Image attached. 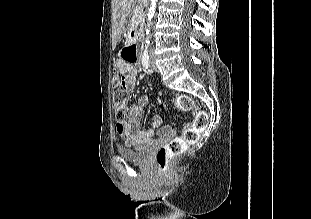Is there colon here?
Returning a JSON list of instances; mask_svg holds the SVG:
<instances>
[{
    "label": "colon",
    "mask_w": 311,
    "mask_h": 219,
    "mask_svg": "<svg viewBox=\"0 0 311 219\" xmlns=\"http://www.w3.org/2000/svg\"><path fill=\"white\" fill-rule=\"evenodd\" d=\"M131 62L136 60V53L128 50L124 55ZM115 91L113 95L114 114L117 121H123L127 113V95L125 92L126 83L124 75H115L113 79ZM175 105L182 111H193L192 124L185 128L182 137L173 138L167 145L161 147L156 153V163L161 172L169 170L171 161L181 155L188 144L196 143L201 133L206 129L208 123L207 114L195 107L191 97L181 94L176 98Z\"/></svg>",
    "instance_id": "colon-1"
}]
</instances>
